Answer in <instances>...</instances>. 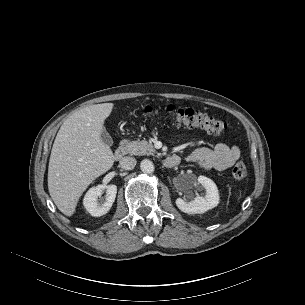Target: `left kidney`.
<instances>
[{
    "label": "left kidney",
    "mask_w": 305,
    "mask_h": 305,
    "mask_svg": "<svg viewBox=\"0 0 305 305\" xmlns=\"http://www.w3.org/2000/svg\"><path fill=\"white\" fill-rule=\"evenodd\" d=\"M197 180L205 188V195L197 196L190 202L178 198L176 205L184 213L202 214L216 207L219 203V192L216 184L205 176H199Z\"/></svg>",
    "instance_id": "obj_1"
}]
</instances>
